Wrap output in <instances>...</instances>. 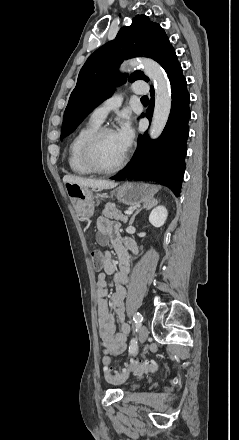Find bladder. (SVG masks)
I'll list each match as a JSON object with an SVG mask.
<instances>
[{
    "label": "bladder",
    "instance_id": "31cf9c89",
    "mask_svg": "<svg viewBox=\"0 0 239 440\" xmlns=\"http://www.w3.org/2000/svg\"><path fill=\"white\" fill-rule=\"evenodd\" d=\"M141 387V384L140 383H132L131 385H130V388L131 389H138V388H140Z\"/></svg>",
    "mask_w": 239,
    "mask_h": 440
}]
</instances>
